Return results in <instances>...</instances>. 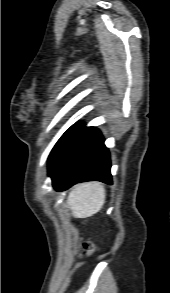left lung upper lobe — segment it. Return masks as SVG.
Segmentation results:
<instances>
[{"instance_id": "1", "label": "left lung upper lobe", "mask_w": 170, "mask_h": 293, "mask_svg": "<svg viewBox=\"0 0 170 293\" xmlns=\"http://www.w3.org/2000/svg\"><path fill=\"white\" fill-rule=\"evenodd\" d=\"M83 127L80 123H76L73 126H71L58 140V142L55 144L54 148L51 151V154L49 156V164L48 168L57 160L59 155L62 153V151L65 149V147L68 145V143L72 140V138L75 136V134Z\"/></svg>"}]
</instances>
